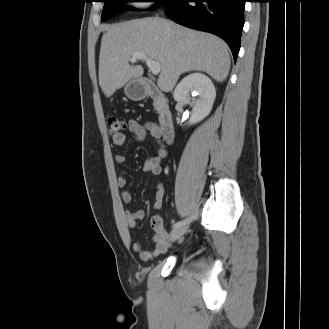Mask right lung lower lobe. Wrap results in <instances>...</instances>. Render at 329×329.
I'll return each mask as SVG.
<instances>
[{
    "mask_svg": "<svg viewBox=\"0 0 329 329\" xmlns=\"http://www.w3.org/2000/svg\"><path fill=\"white\" fill-rule=\"evenodd\" d=\"M246 0H169L166 15L183 26L224 39L236 61L244 25Z\"/></svg>",
    "mask_w": 329,
    "mask_h": 329,
    "instance_id": "obj_1",
    "label": "right lung lower lobe"
}]
</instances>
